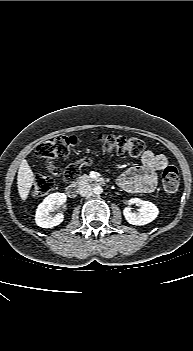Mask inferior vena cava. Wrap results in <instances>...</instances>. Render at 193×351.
<instances>
[{
  "label": "inferior vena cava",
  "instance_id": "1",
  "mask_svg": "<svg viewBox=\"0 0 193 351\" xmlns=\"http://www.w3.org/2000/svg\"><path fill=\"white\" fill-rule=\"evenodd\" d=\"M78 190H79V194L83 197L88 196L92 192V188L88 184H83L82 186L79 187Z\"/></svg>",
  "mask_w": 193,
  "mask_h": 351
}]
</instances>
